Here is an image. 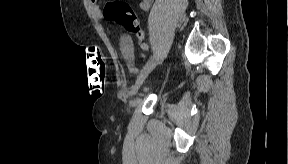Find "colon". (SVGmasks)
<instances>
[{"label": "colon", "mask_w": 288, "mask_h": 164, "mask_svg": "<svg viewBox=\"0 0 288 164\" xmlns=\"http://www.w3.org/2000/svg\"><path fill=\"white\" fill-rule=\"evenodd\" d=\"M104 16L107 21L123 26L139 41L146 39L145 32L140 26L137 14L127 2L123 0H110L105 6Z\"/></svg>", "instance_id": "1"}]
</instances>
